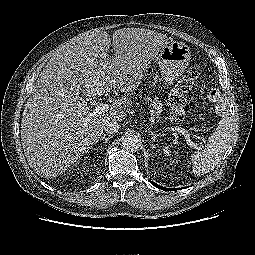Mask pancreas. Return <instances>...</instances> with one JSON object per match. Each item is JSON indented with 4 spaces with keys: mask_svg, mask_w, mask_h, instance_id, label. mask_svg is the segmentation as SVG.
<instances>
[{
    "mask_svg": "<svg viewBox=\"0 0 255 255\" xmlns=\"http://www.w3.org/2000/svg\"><path fill=\"white\" fill-rule=\"evenodd\" d=\"M139 98H143L145 102L148 103L149 107L157 118L160 117V114L162 113V103L158 100L157 97L151 98L149 96L142 97V95H139Z\"/></svg>",
    "mask_w": 255,
    "mask_h": 255,
    "instance_id": "cf45deb5",
    "label": "pancreas"
}]
</instances>
